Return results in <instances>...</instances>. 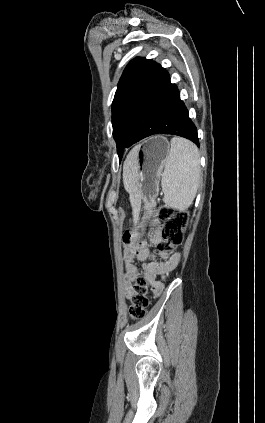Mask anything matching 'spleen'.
<instances>
[{
  "instance_id": "obj_1",
  "label": "spleen",
  "mask_w": 265,
  "mask_h": 423,
  "mask_svg": "<svg viewBox=\"0 0 265 423\" xmlns=\"http://www.w3.org/2000/svg\"><path fill=\"white\" fill-rule=\"evenodd\" d=\"M199 181L198 148L184 138L173 137L161 179L164 203L179 211L186 210L196 196Z\"/></svg>"
}]
</instances>
